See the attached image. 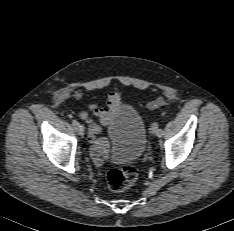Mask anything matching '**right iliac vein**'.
<instances>
[{"label":"right iliac vein","instance_id":"63e3f726","mask_svg":"<svg viewBox=\"0 0 234 231\" xmlns=\"http://www.w3.org/2000/svg\"><path fill=\"white\" fill-rule=\"evenodd\" d=\"M78 134H79L80 137H83V135H84V128H83V126L79 127Z\"/></svg>","mask_w":234,"mask_h":231}]
</instances>
